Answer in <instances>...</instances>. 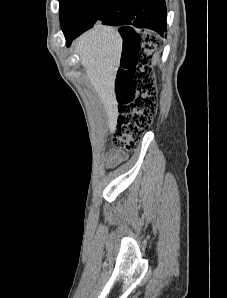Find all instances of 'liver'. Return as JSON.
Returning <instances> with one entry per match:
<instances>
[{
	"label": "liver",
	"mask_w": 227,
	"mask_h": 298,
	"mask_svg": "<svg viewBox=\"0 0 227 298\" xmlns=\"http://www.w3.org/2000/svg\"><path fill=\"white\" fill-rule=\"evenodd\" d=\"M75 51L80 55L86 76L104 105L112 133L117 118L114 84L120 65L122 38L114 28L98 25L75 41Z\"/></svg>",
	"instance_id": "obj_1"
}]
</instances>
